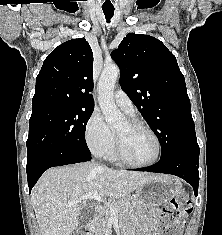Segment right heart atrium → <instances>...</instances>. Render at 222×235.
<instances>
[{"instance_id": "right-heart-atrium-1", "label": "right heart atrium", "mask_w": 222, "mask_h": 235, "mask_svg": "<svg viewBox=\"0 0 222 235\" xmlns=\"http://www.w3.org/2000/svg\"><path fill=\"white\" fill-rule=\"evenodd\" d=\"M85 140L89 149L97 156H107L114 148V133L98 111H94L86 123Z\"/></svg>"}]
</instances>
